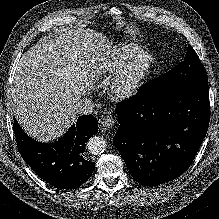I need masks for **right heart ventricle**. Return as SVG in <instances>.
<instances>
[{"label":"right heart ventricle","instance_id":"obj_1","mask_svg":"<svg viewBox=\"0 0 219 219\" xmlns=\"http://www.w3.org/2000/svg\"><path fill=\"white\" fill-rule=\"evenodd\" d=\"M141 52L137 46L120 44L103 55L93 67V77L98 82H106L124 62Z\"/></svg>","mask_w":219,"mask_h":219}]
</instances>
